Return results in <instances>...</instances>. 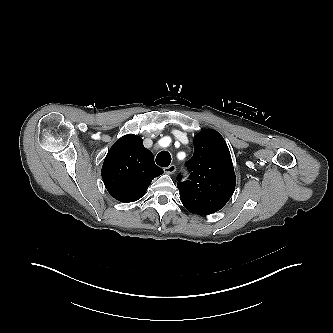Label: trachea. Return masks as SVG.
<instances>
[{
	"mask_svg": "<svg viewBox=\"0 0 333 333\" xmlns=\"http://www.w3.org/2000/svg\"><path fill=\"white\" fill-rule=\"evenodd\" d=\"M157 165L168 167L171 163V155L168 151H161L156 157Z\"/></svg>",
	"mask_w": 333,
	"mask_h": 333,
	"instance_id": "1",
	"label": "trachea"
}]
</instances>
